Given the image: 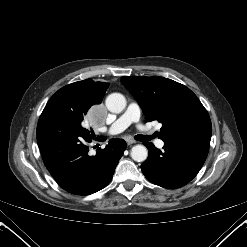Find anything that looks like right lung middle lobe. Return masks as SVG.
<instances>
[{
	"label": "right lung middle lobe",
	"instance_id": "right-lung-middle-lobe-1",
	"mask_svg": "<svg viewBox=\"0 0 247 247\" xmlns=\"http://www.w3.org/2000/svg\"><path fill=\"white\" fill-rule=\"evenodd\" d=\"M100 103L92 95L67 85L50 98L43 112L60 114L81 123Z\"/></svg>",
	"mask_w": 247,
	"mask_h": 247
}]
</instances>
